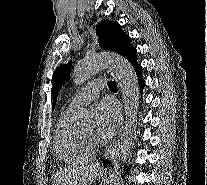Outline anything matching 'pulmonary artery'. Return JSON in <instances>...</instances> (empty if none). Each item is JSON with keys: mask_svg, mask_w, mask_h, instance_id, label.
<instances>
[{"mask_svg": "<svg viewBox=\"0 0 207 185\" xmlns=\"http://www.w3.org/2000/svg\"><path fill=\"white\" fill-rule=\"evenodd\" d=\"M99 81L105 82L106 78L100 77ZM99 81H90V86H82L81 87L82 91L79 92L78 94H76L72 98L68 109L72 111L73 109H75L78 106H81V105H84V104H87V103L93 101L99 93L98 89L94 90V86H99Z\"/></svg>", "mask_w": 207, "mask_h": 185, "instance_id": "pulmonary-artery-1", "label": "pulmonary artery"}]
</instances>
